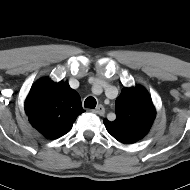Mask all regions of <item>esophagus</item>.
<instances>
[{"label":"esophagus","instance_id":"obj_1","mask_svg":"<svg viewBox=\"0 0 190 190\" xmlns=\"http://www.w3.org/2000/svg\"><path fill=\"white\" fill-rule=\"evenodd\" d=\"M91 111L100 116H103L105 114V108L102 105H98L94 110H91Z\"/></svg>","mask_w":190,"mask_h":190}]
</instances>
